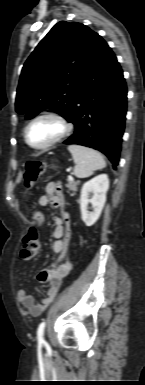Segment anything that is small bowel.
I'll list each match as a JSON object with an SVG mask.
<instances>
[{
    "label": "small bowel",
    "instance_id": "obj_1",
    "mask_svg": "<svg viewBox=\"0 0 145 385\" xmlns=\"http://www.w3.org/2000/svg\"><path fill=\"white\" fill-rule=\"evenodd\" d=\"M38 203L43 207L51 205V207L55 209L62 210L64 208V199L60 184L57 182L48 183L46 186V194L40 196ZM70 236L69 216L63 211L61 216L55 218V228L53 231L54 241L51 246L52 251L60 255L58 263L51 268L41 270L38 274V280L41 283H48L50 285L47 291V297L37 301L24 289H20L17 292L19 305L31 316H39L48 307L56 296L63 279L72 269V264L62 259V256L67 252Z\"/></svg>",
    "mask_w": 145,
    "mask_h": 385
}]
</instances>
